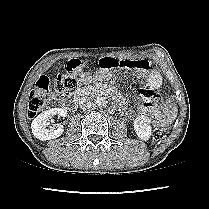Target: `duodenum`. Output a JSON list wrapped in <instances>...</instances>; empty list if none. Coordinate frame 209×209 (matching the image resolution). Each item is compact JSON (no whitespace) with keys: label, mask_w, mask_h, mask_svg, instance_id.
<instances>
[{"label":"duodenum","mask_w":209,"mask_h":209,"mask_svg":"<svg viewBox=\"0 0 209 209\" xmlns=\"http://www.w3.org/2000/svg\"><path fill=\"white\" fill-rule=\"evenodd\" d=\"M97 93L99 95H108V96L112 97L118 103H120L122 101L119 94L109 91V90L100 89V90H97ZM84 94H85V92L82 90H79L72 95L66 94L61 98L60 105L66 109H74L75 105L77 104V102L80 100V98Z\"/></svg>","instance_id":"1"}]
</instances>
